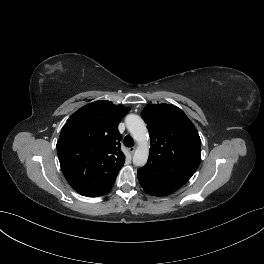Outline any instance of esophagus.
<instances>
[{"label":"esophagus","mask_w":264,"mask_h":264,"mask_svg":"<svg viewBox=\"0 0 264 264\" xmlns=\"http://www.w3.org/2000/svg\"><path fill=\"white\" fill-rule=\"evenodd\" d=\"M128 151H129L131 154H133V153L135 152V147H130V148H128Z\"/></svg>","instance_id":"34e87169"}]
</instances>
